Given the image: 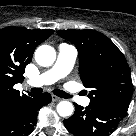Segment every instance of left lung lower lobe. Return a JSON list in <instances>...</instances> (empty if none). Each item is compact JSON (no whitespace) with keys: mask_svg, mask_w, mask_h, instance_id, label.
Returning a JSON list of instances; mask_svg holds the SVG:
<instances>
[{"mask_svg":"<svg viewBox=\"0 0 136 136\" xmlns=\"http://www.w3.org/2000/svg\"><path fill=\"white\" fill-rule=\"evenodd\" d=\"M75 109L73 116L64 120L74 136H108L126 114L123 109L93 102L86 108L75 104Z\"/></svg>","mask_w":136,"mask_h":136,"instance_id":"obj_1","label":"left lung lower lobe"}]
</instances>
